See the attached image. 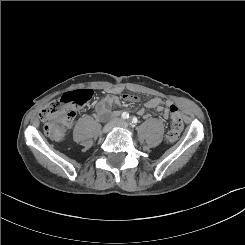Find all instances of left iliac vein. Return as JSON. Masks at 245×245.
Listing matches in <instances>:
<instances>
[{
	"instance_id": "left-iliac-vein-1",
	"label": "left iliac vein",
	"mask_w": 245,
	"mask_h": 245,
	"mask_svg": "<svg viewBox=\"0 0 245 245\" xmlns=\"http://www.w3.org/2000/svg\"><path fill=\"white\" fill-rule=\"evenodd\" d=\"M118 126L126 128L127 127V123L126 122H121Z\"/></svg>"
}]
</instances>
